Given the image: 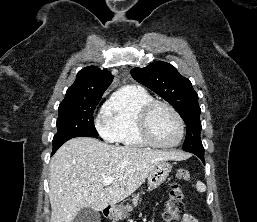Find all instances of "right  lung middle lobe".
<instances>
[{"label": "right lung middle lobe", "instance_id": "dd1d6c3e", "mask_svg": "<svg viewBox=\"0 0 257 222\" xmlns=\"http://www.w3.org/2000/svg\"><path fill=\"white\" fill-rule=\"evenodd\" d=\"M101 96L63 100L59 105L57 133L53 138V148H59L74 137H96L93 113Z\"/></svg>", "mask_w": 257, "mask_h": 222}]
</instances>
